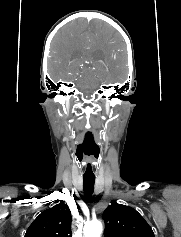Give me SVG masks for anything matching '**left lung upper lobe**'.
<instances>
[{
    "label": "left lung upper lobe",
    "instance_id": "5c2ea615",
    "mask_svg": "<svg viewBox=\"0 0 181 237\" xmlns=\"http://www.w3.org/2000/svg\"><path fill=\"white\" fill-rule=\"evenodd\" d=\"M102 218L105 237H155L146 220L131 207L113 202Z\"/></svg>",
    "mask_w": 181,
    "mask_h": 237
}]
</instances>
